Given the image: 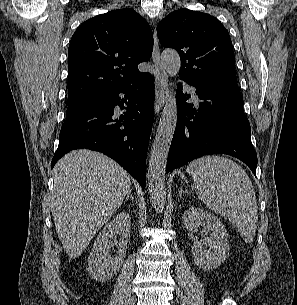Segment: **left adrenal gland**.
I'll list each match as a JSON object with an SVG mask.
<instances>
[{
	"instance_id": "obj_1",
	"label": "left adrenal gland",
	"mask_w": 297,
	"mask_h": 305,
	"mask_svg": "<svg viewBox=\"0 0 297 305\" xmlns=\"http://www.w3.org/2000/svg\"><path fill=\"white\" fill-rule=\"evenodd\" d=\"M183 192H186V191L183 190L182 188H180V189H179V196H180V197L182 196V193H183Z\"/></svg>"
}]
</instances>
